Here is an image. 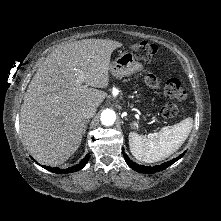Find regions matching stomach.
I'll return each mask as SVG.
<instances>
[{"label": "stomach", "instance_id": "1", "mask_svg": "<svg viewBox=\"0 0 221 221\" xmlns=\"http://www.w3.org/2000/svg\"><path fill=\"white\" fill-rule=\"evenodd\" d=\"M143 70V65L135 59L133 52L122 53L115 61L110 64V72L113 76L122 78ZM133 127L137 123L132 124Z\"/></svg>", "mask_w": 221, "mask_h": 221}]
</instances>
